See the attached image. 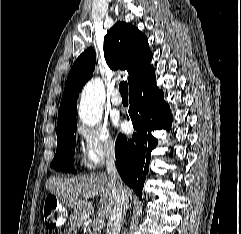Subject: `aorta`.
I'll return each instance as SVG.
<instances>
[{
    "label": "aorta",
    "mask_w": 241,
    "mask_h": 234,
    "mask_svg": "<svg viewBox=\"0 0 241 234\" xmlns=\"http://www.w3.org/2000/svg\"><path fill=\"white\" fill-rule=\"evenodd\" d=\"M105 90L99 78L92 79L81 94L79 116L83 123L94 126L101 121Z\"/></svg>",
    "instance_id": "762f6f07"
}]
</instances>
